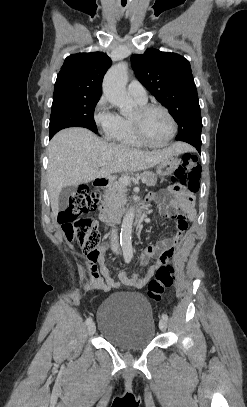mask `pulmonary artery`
Masks as SVG:
<instances>
[{
    "label": "pulmonary artery",
    "mask_w": 247,
    "mask_h": 407,
    "mask_svg": "<svg viewBox=\"0 0 247 407\" xmlns=\"http://www.w3.org/2000/svg\"><path fill=\"white\" fill-rule=\"evenodd\" d=\"M129 95L138 102H146L147 101V92L144 86L136 80H133L129 83L128 87Z\"/></svg>",
    "instance_id": "1"
}]
</instances>
